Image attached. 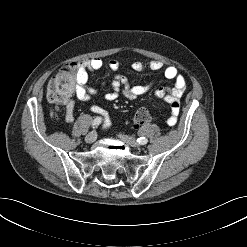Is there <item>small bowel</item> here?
<instances>
[{"label":"small bowel","mask_w":247,"mask_h":247,"mask_svg":"<svg viewBox=\"0 0 247 247\" xmlns=\"http://www.w3.org/2000/svg\"><path fill=\"white\" fill-rule=\"evenodd\" d=\"M103 66V60L98 57L77 63V85L75 88V94L79 100L89 104L92 112L102 116L105 126L109 127L111 124L109 113L104 108L92 103V99L98 91L94 87L88 85L90 74L99 71ZM108 67L111 71L116 72L119 68V62L112 59L108 62ZM132 69L137 73L146 70H163L165 78L174 80V86L172 88L160 87L153 91L155 99L162 100L171 107V115L168 119V123H174L179 107L174 108L173 105L175 103H178V105L180 104V99L186 90V79L180 73L179 69L174 65L164 67L158 60H151L147 64L139 61L134 62L132 64ZM110 88L111 90L105 95V99L108 102H113L119 97V95H123L128 99H135L138 96L144 95L150 91L151 84L132 86L129 84L126 77L115 75L110 82ZM64 106V119L67 123H72L74 120V101L69 100L64 103Z\"/></svg>","instance_id":"small-bowel-1"}]
</instances>
